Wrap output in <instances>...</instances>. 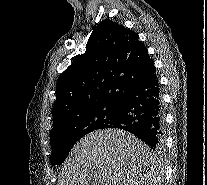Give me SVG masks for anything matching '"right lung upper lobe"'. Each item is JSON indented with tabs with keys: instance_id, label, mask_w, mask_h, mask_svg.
Instances as JSON below:
<instances>
[{
	"instance_id": "right-lung-upper-lobe-1",
	"label": "right lung upper lobe",
	"mask_w": 207,
	"mask_h": 185,
	"mask_svg": "<svg viewBox=\"0 0 207 185\" xmlns=\"http://www.w3.org/2000/svg\"><path fill=\"white\" fill-rule=\"evenodd\" d=\"M153 75L154 63L137 34L110 19L103 20L94 28L86 52L77 55L58 79L54 125L81 112L118 103L132 84Z\"/></svg>"
}]
</instances>
